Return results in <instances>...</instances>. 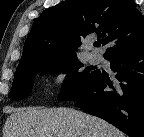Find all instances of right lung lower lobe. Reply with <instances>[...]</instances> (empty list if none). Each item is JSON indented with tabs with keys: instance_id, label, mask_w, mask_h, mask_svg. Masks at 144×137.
Listing matches in <instances>:
<instances>
[{
	"instance_id": "1",
	"label": "right lung lower lobe",
	"mask_w": 144,
	"mask_h": 137,
	"mask_svg": "<svg viewBox=\"0 0 144 137\" xmlns=\"http://www.w3.org/2000/svg\"><path fill=\"white\" fill-rule=\"evenodd\" d=\"M117 80L98 73L76 106L116 126L130 137H144V41L104 57Z\"/></svg>"
}]
</instances>
